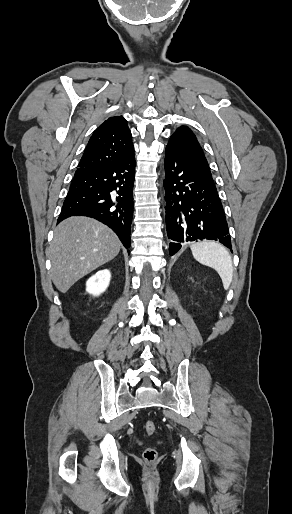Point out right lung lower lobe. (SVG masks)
<instances>
[{
	"label": "right lung lower lobe",
	"mask_w": 292,
	"mask_h": 514,
	"mask_svg": "<svg viewBox=\"0 0 292 514\" xmlns=\"http://www.w3.org/2000/svg\"><path fill=\"white\" fill-rule=\"evenodd\" d=\"M135 156L104 167L78 168L63 203L58 223L87 216L106 224L130 248Z\"/></svg>",
	"instance_id": "1"
}]
</instances>
